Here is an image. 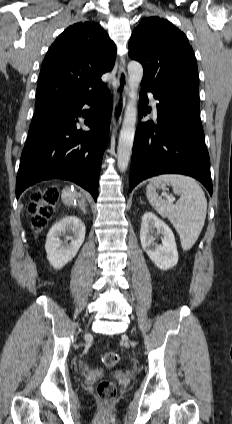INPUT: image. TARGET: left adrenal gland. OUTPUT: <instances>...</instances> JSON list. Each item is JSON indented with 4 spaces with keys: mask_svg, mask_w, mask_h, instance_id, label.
Segmentation results:
<instances>
[{
    "mask_svg": "<svg viewBox=\"0 0 232 424\" xmlns=\"http://www.w3.org/2000/svg\"><path fill=\"white\" fill-rule=\"evenodd\" d=\"M140 204H144V202L140 199Z\"/></svg>",
    "mask_w": 232,
    "mask_h": 424,
    "instance_id": "obj_1",
    "label": "left adrenal gland"
}]
</instances>
